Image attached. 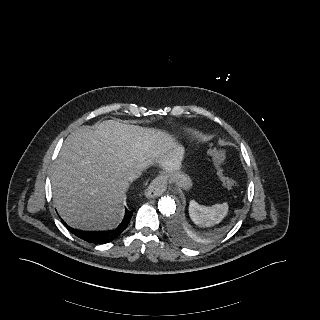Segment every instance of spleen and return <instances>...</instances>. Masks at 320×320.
Instances as JSON below:
<instances>
[{
  "label": "spleen",
  "mask_w": 320,
  "mask_h": 320,
  "mask_svg": "<svg viewBox=\"0 0 320 320\" xmlns=\"http://www.w3.org/2000/svg\"><path fill=\"white\" fill-rule=\"evenodd\" d=\"M228 210L229 207L226 202L203 206L193 200L189 204V215L192 221L201 227H210L220 223L227 215Z\"/></svg>",
  "instance_id": "3e777b00"
}]
</instances>
